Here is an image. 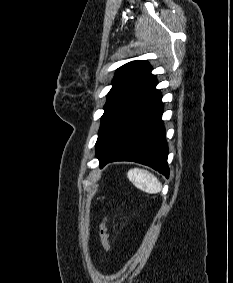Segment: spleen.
<instances>
[{
    "instance_id": "obj_1",
    "label": "spleen",
    "mask_w": 233,
    "mask_h": 283,
    "mask_svg": "<svg viewBox=\"0 0 233 283\" xmlns=\"http://www.w3.org/2000/svg\"><path fill=\"white\" fill-rule=\"evenodd\" d=\"M127 177L135 187L146 193L156 194L162 189V185L157 177L147 170L131 169L128 171Z\"/></svg>"
}]
</instances>
